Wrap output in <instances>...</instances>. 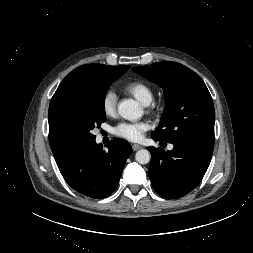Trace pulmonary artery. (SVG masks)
<instances>
[{
  "mask_svg": "<svg viewBox=\"0 0 253 253\" xmlns=\"http://www.w3.org/2000/svg\"><path fill=\"white\" fill-rule=\"evenodd\" d=\"M172 148H173V146H172V145H170V146H169V149H172Z\"/></svg>",
  "mask_w": 253,
  "mask_h": 253,
  "instance_id": "e3ab8cb5",
  "label": "pulmonary artery"
}]
</instances>
